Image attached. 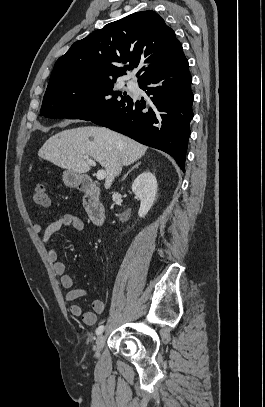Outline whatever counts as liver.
Wrapping results in <instances>:
<instances>
[{
	"mask_svg": "<svg viewBox=\"0 0 265 407\" xmlns=\"http://www.w3.org/2000/svg\"><path fill=\"white\" fill-rule=\"evenodd\" d=\"M147 147L105 127L85 126L68 129L50 137L38 151L39 157L79 174L91 165L84 159L96 160L106 171L105 188L111 187L118 166L139 160Z\"/></svg>",
	"mask_w": 265,
	"mask_h": 407,
	"instance_id": "obj_1",
	"label": "liver"
}]
</instances>
